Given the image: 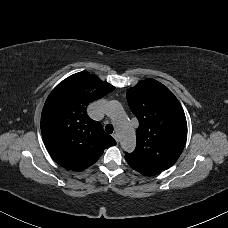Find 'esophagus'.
Wrapping results in <instances>:
<instances>
[{
  "label": "esophagus",
  "mask_w": 228,
  "mask_h": 228,
  "mask_svg": "<svg viewBox=\"0 0 228 228\" xmlns=\"http://www.w3.org/2000/svg\"><path fill=\"white\" fill-rule=\"evenodd\" d=\"M113 138H114L117 142L119 141L117 134H113Z\"/></svg>",
  "instance_id": "1"
}]
</instances>
